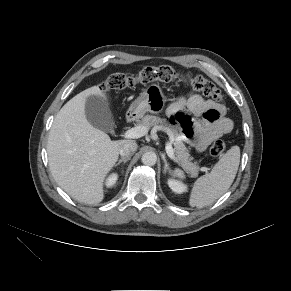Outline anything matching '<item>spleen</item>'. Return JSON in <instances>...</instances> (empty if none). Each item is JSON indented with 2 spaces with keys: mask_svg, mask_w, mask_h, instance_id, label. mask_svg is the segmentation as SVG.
I'll return each mask as SVG.
<instances>
[{
  "mask_svg": "<svg viewBox=\"0 0 291 291\" xmlns=\"http://www.w3.org/2000/svg\"><path fill=\"white\" fill-rule=\"evenodd\" d=\"M240 162V148L233 146L214 165L211 172L199 177L192 188L189 205L203 208L219 199L232 185ZM174 176L184 179L180 169L173 171Z\"/></svg>",
  "mask_w": 291,
  "mask_h": 291,
  "instance_id": "1",
  "label": "spleen"
}]
</instances>
